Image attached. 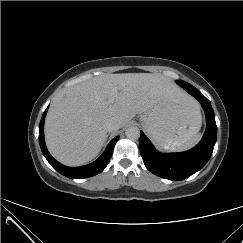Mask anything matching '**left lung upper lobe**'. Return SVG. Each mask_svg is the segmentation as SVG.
Listing matches in <instances>:
<instances>
[{"label": "left lung upper lobe", "mask_w": 243, "mask_h": 243, "mask_svg": "<svg viewBox=\"0 0 243 243\" xmlns=\"http://www.w3.org/2000/svg\"><path fill=\"white\" fill-rule=\"evenodd\" d=\"M182 82H185V81H182V80H177V84H178V83H182Z\"/></svg>", "instance_id": "obj_1"}]
</instances>
